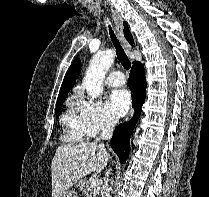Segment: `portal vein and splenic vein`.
<instances>
[{
	"label": "portal vein and splenic vein",
	"mask_w": 209,
	"mask_h": 197,
	"mask_svg": "<svg viewBox=\"0 0 209 197\" xmlns=\"http://www.w3.org/2000/svg\"><path fill=\"white\" fill-rule=\"evenodd\" d=\"M100 184V179L99 178H93L90 181V187L94 188Z\"/></svg>",
	"instance_id": "obj_1"
}]
</instances>
